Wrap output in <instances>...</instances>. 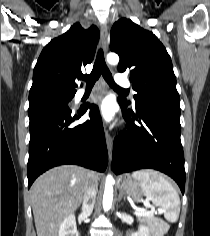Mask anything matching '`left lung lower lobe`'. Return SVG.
I'll use <instances>...</instances> for the list:
<instances>
[{"instance_id":"obj_1","label":"left lung lower lobe","mask_w":210,"mask_h":236,"mask_svg":"<svg viewBox=\"0 0 210 236\" xmlns=\"http://www.w3.org/2000/svg\"><path fill=\"white\" fill-rule=\"evenodd\" d=\"M118 102L127 120V128L114 141L113 171L120 174L142 168L156 169L172 177L184 194L179 104L146 101L136 105L135 112L128 109L121 99Z\"/></svg>"}]
</instances>
